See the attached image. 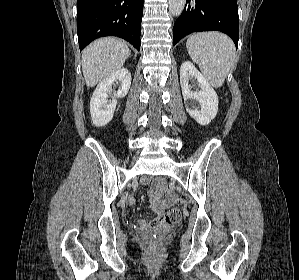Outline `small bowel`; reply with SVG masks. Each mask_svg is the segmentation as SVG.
<instances>
[{
	"label": "small bowel",
	"instance_id": "obj_1",
	"mask_svg": "<svg viewBox=\"0 0 299 280\" xmlns=\"http://www.w3.org/2000/svg\"><path fill=\"white\" fill-rule=\"evenodd\" d=\"M148 181H149L148 179L145 180V182H148ZM163 184H164V181L161 178L154 179V184L148 192L151 206L156 211H161L164 207V200H163L162 193H161ZM171 200H172V198H171ZM128 201L130 204L134 203V200L132 198H129Z\"/></svg>",
	"mask_w": 299,
	"mask_h": 280
}]
</instances>
